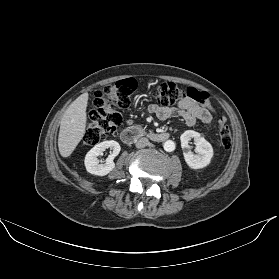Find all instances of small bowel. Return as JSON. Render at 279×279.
I'll return each instance as SVG.
<instances>
[{
	"instance_id": "small-bowel-1",
	"label": "small bowel",
	"mask_w": 279,
	"mask_h": 279,
	"mask_svg": "<svg viewBox=\"0 0 279 279\" xmlns=\"http://www.w3.org/2000/svg\"><path fill=\"white\" fill-rule=\"evenodd\" d=\"M147 110L161 120L174 116L181 117L188 126H193L198 120L209 126L212 123L210 108L200 105L189 97L181 100L177 106L150 105Z\"/></svg>"
}]
</instances>
